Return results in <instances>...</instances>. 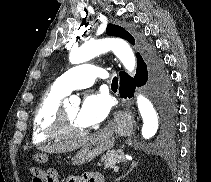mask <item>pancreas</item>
<instances>
[{"instance_id":"cf45deb5","label":"pancreas","mask_w":211,"mask_h":182,"mask_svg":"<svg viewBox=\"0 0 211 182\" xmlns=\"http://www.w3.org/2000/svg\"><path fill=\"white\" fill-rule=\"evenodd\" d=\"M125 157L121 153V150H110L100 159L99 166H103L105 169L113 168L120 161H124Z\"/></svg>"}]
</instances>
